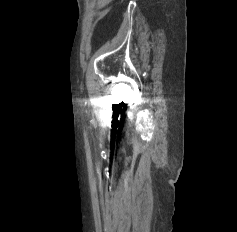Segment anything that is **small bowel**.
<instances>
[{"label":"small bowel","instance_id":"small-bowel-1","mask_svg":"<svg viewBox=\"0 0 237 232\" xmlns=\"http://www.w3.org/2000/svg\"><path fill=\"white\" fill-rule=\"evenodd\" d=\"M111 0H98L99 7H104L110 3Z\"/></svg>","mask_w":237,"mask_h":232}]
</instances>
